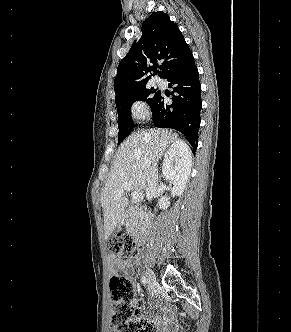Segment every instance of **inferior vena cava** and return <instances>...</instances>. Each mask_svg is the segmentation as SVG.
I'll list each match as a JSON object with an SVG mask.
<instances>
[{"label": "inferior vena cava", "mask_w": 291, "mask_h": 332, "mask_svg": "<svg viewBox=\"0 0 291 332\" xmlns=\"http://www.w3.org/2000/svg\"><path fill=\"white\" fill-rule=\"evenodd\" d=\"M146 183V197L149 201H151L156 195L158 189V169L156 168L155 162H152V166L148 171Z\"/></svg>", "instance_id": "inferior-vena-cava-1"}]
</instances>
